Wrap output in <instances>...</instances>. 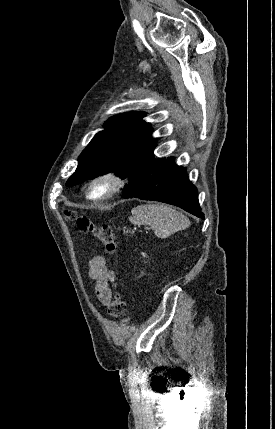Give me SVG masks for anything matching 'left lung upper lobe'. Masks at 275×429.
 <instances>
[{
  "mask_svg": "<svg viewBox=\"0 0 275 429\" xmlns=\"http://www.w3.org/2000/svg\"><path fill=\"white\" fill-rule=\"evenodd\" d=\"M142 112H127L109 118L106 130L97 133L78 159V167L67 180L74 186L99 175L115 172L127 178V191L146 167L155 159L153 129L141 119Z\"/></svg>",
  "mask_w": 275,
  "mask_h": 429,
  "instance_id": "obj_1",
  "label": "left lung upper lobe"
}]
</instances>
